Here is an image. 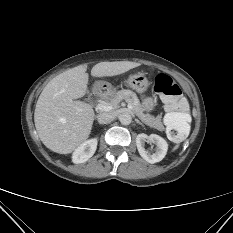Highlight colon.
Wrapping results in <instances>:
<instances>
[{"instance_id": "1", "label": "colon", "mask_w": 233, "mask_h": 233, "mask_svg": "<svg viewBox=\"0 0 233 233\" xmlns=\"http://www.w3.org/2000/svg\"><path fill=\"white\" fill-rule=\"evenodd\" d=\"M154 90L166 103L165 122L169 138L175 141L183 139L189 131L190 115L179 86L170 76L158 74L155 77Z\"/></svg>"}]
</instances>
